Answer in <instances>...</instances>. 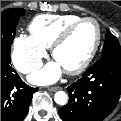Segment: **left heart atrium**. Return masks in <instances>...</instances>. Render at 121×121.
Returning <instances> with one entry per match:
<instances>
[{
	"instance_id": "39dd6f15",
	"label": "left heart atrium",
	"mask_w": 121,
	"mask_h": 121,
	"mask_svg": "<svg viewBox=\"0 0 121 121\" xmlns=\"http://www.w3.org/2000/svg\"><path fill=\"white\" fill-rule=\"evenodd\" d=\"M63 72L62 67L58 64L57 61L48 63L41 70L33 73L30 76V81L34 84H50L54 83L59 79Z\"/></svg>"
}]
</instances>
